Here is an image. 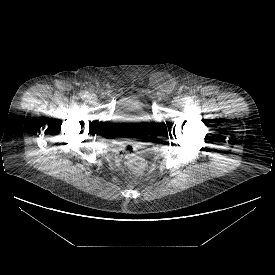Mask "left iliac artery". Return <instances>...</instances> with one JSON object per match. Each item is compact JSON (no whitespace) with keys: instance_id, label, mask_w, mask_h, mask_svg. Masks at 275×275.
Listing matches in <instances>:
<instances>
[{"instance_id":"obj_1","label":"left iliac artery","mask_w":275,"mask_h":275,"mask_svg":"<svg viewBox=\"0 0 275 275\" xmlns=\"http://www.w3.org/2000/svg\"><path fill=\"white\" fill-rule=\"evenodd\" d=\"M184 101H185L186 103H191L192 100H191L190 97H187V96H186V97L184 98Z\"/></svg>"}]
</instances>
